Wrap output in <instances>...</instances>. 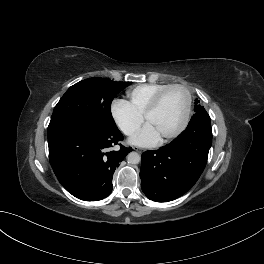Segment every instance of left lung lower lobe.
<instances>
[{
	"mask_svg": "<svg viewBox=\"0 0 264 264\" xmlns=\"http://www.w3.org/2000/svg\"><path fill=\"white\" fill-rule=\"evenodd\" d=\"M196 109L187 128L170 144L148 150L141 157V188L157 202L172 201L186 193L199 179L212 144L209 115Z\"/></svg>",
	"mask_w": 264,
	"mask_h": 264,
	"instance_id": "0a47b994",
	"label": "left lung lower lobe"
}]
</instances>
